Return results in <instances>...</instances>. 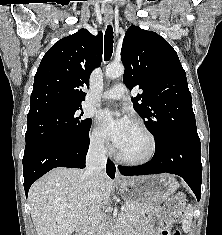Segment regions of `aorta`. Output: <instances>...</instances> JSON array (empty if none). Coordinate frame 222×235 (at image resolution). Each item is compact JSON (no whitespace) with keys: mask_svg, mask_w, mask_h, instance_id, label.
Wrapping results in <instances>:
<instances>
[{"mask_svg":"<svg viewBox=\"0 0 222 235\" xmlns=\"http://www.w3.org/2000/svg\"><path fill=\"white\" fill-rule=\"evenodd\" d=\"M124 66L121 63H112L107 66L105 70V75L109 79H116L124 74ZM106 235H112V233L108 230Z\"/></svg>","mask_w":222,"mask_h":235,"instance_id":"762f6f07","label":"aorta"}]
</instances>
